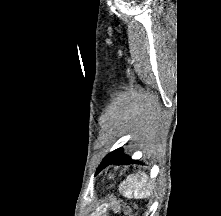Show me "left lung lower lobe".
I'll use <instances>...</instances> for the list:
<instances>
[{"instance_id": "left-lung-lower-lobe-1", "label": "left lung lower lobe", "mask_w": 221, "mask_h": 216, "mask_svg": "<svg viewBox=\"0 0 221 216\" xmlns=\"http://www.w3.org/2000/svg\"><path fill=\"white\" fill-rule=\"evenodd\" d=\"M132 162H136L134 160L131 159V157L125 155L123 153V150L119 153L116 154H108L103 161L101 162V164L99 165V167L97 168V172L101 171L103 168H105L106 166L110 165V164H116V165H120V164H130Z\"/></svg>"}]
</instances>
